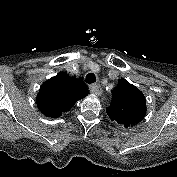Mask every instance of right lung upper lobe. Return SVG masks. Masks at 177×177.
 <instances>
[{"mask_svg": "<svg viewBox=\"0 0 177 177\" xmlns=\"http://www.w3.org/2000/svg\"><path fill=\"white\" fill-rule=\"evenodd\" d=\"M86 96L87 92L79 79L60 72L42 84L36 101L45 116L57 118Z\"/></svg>", "mask_w": 177, "mask_h": 177, "instance_id": "right-lung-upper-lobe-1", "label": "right lung upper lobe"}]
</instances>
